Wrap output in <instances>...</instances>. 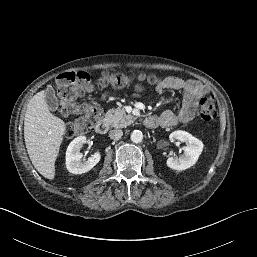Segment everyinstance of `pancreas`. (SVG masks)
Returning <instances> with one entry per match:
<instances>
[{
	"label": "pancreas",
	"instance_id": "1",
	"mask_svg": "<svg viewBox=\"0 0 257 257\" xmlns=\"http://www.w3.org/2000/svg\"><path fill=\"white\" fill-rule=\"evenodd\" d=\"M104 120L112 128H124L134 122V117L127 114L122 107L110 109L105 114Z\"/></svg>",
	"mask_w": 257,
	"mask_h": 257
}]
</instances>
